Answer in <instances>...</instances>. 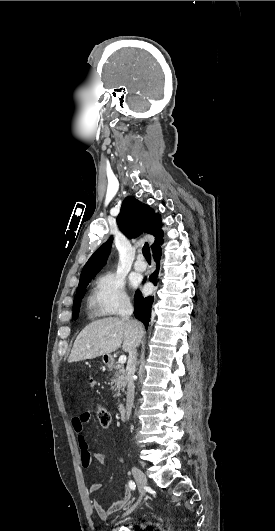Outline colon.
I'll list each match as a JSON object with an SVG mask.
<instances>
[{
    "label": "colon",
    "instance_id": "1",
    "mask_svg": "<svg viewBox=\"0 0 275 531\" xmlns=\"http://www.w3.org/2000/svg\"><path fill=\"white\" fill-rule=\"evenodd\" d=\"M96 415L101 426L108 427L110 425V415L105 407L98 406L96 409Z\"/></svg>",
    "mask_w": 275,
    "mask_h": 531
}]
</instances>
